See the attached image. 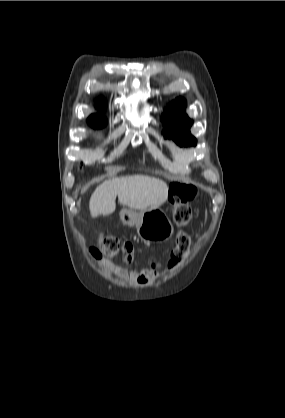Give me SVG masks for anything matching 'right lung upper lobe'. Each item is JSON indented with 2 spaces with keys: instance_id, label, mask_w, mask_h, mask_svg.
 <instances>
[{
  "instance_id": "cb5924a9",
  "label": "right lung upper lobe",
  "mask_w": 285,
  "mask_h": 418,
  "mask_svg": "<svg viewBox=\"0 0 285 418\" xmlns=\"http://www.w3.org/2000/svg\"><path fill=\"white\" fill-rule=\"evenodd\" d=\"M98 107L100 108V109H102L103 108V104L101 103V102H99L98 103ZM90 123H97V124H101V125H104L105 123H106V121H105V118L104 117H102V116H100V115H96V114H93V115H91L90 117H89V120H88Z\"/></svg>"
}]
</instances>
